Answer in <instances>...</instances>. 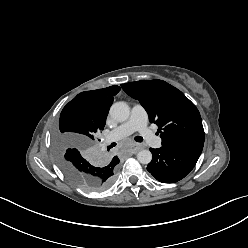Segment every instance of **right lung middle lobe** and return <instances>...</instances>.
<instances>
[{"label":"right lung middle lobe","instance_id":"1","mask_svg":"<svg viewBox=\"0 0 248 248\" xmlns=\"http://www.w3.org/2000/svg\"><path fill=\"white\" fill-rule=\"evenodd\" d=\"M103 129L104 123L88 113L84 102L72 100L62 110L59 128L55 131V148L62 171L88 191L104 190L114 181L117 163L91 150L97 134ZM75 145L79 150L69 148L65 154L67 146ZM72 152L74 159L68 157Z\"/></svg>","mask_w":248,"mask_h":248}]
</instances>
